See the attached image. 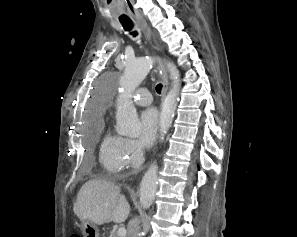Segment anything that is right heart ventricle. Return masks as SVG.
<instances>
[{
  "instance_id": "right-heart-ventricle-1",
  "label": "right heart ventricle",
  "mask_w": 297,
  "mask_h": 237,
  "mask_svg": "<svg viewBox=\"0 0 297 237\" xmlns=\"http://www.w3.org/2000/svg\"><path fill=\"white\" fill-rule=\"evenodd\" d=\"M123 137L106 133L100 144L99 159L102 166L111 174H116L126 168L124 162V144Z\"/></svg>"
}]
</instances>
